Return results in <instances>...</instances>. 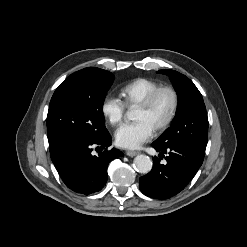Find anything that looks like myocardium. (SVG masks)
<instances>
[{
    "mask_svg": "<svg viewBox=\"0 0 247 247\" xmlns=\"http://www.w3.org/2000/svg\"><path fill=\"white\" fill-rule=\"evenodd\" d=\"M164 92H167L170 94L172 103H171V108H170V111L167 117L154 128L156 132H161L165 130L173 122L174 118L176 117V114L179 108V94L177 90L172 86H159L156 89H154L152 92H150L147 95V97L141 103L137 105L138 108H141L144 110L150 109L155 103L158 96Z\"/></svg>",
    "mask_w": 247,
    "mask_h": 247,
    "instance_id": "f54148a6",
    "label": "myocardium"
}]
</instances>
